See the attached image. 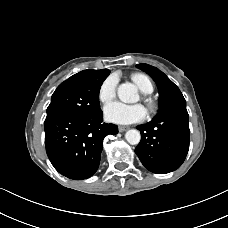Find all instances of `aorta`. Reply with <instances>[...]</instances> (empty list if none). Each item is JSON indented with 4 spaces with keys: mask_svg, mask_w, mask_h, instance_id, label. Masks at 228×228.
<instances>
[{
    "mask_svg": "<svg viewBox=\"0 0 228 228\" xmlns=\"http://www.w3.org/2000/svg\"><path fill=\"white\" fill-rule=\"evenodd\" d=\"M117 95L122 102L135 103L139 100L137 88L132 83H123L117 89ZM125 139L131 145H137L140 142L141 135L136 129L128 130Z\"/></svg>",
    "mask_w": 228,
    "mask_h": 228,
    "instance_id": "aorta-1",
    "label": "aorta"
}]
</instances>
